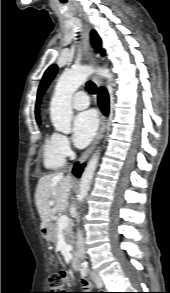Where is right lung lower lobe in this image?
<instances>
[{"mask_svg":"<svg viewBox=\"0 0 170 293\" xmlns=\"http://www.w3.org/2000/svg\"><path fill=\"white\" fill-rule=\"evenodd\" d=\"M98 102L99 106L104 114H108L109 111V98L107 91L104 88L100 89L99 95H98ZM83 171V166H80L78 163L75 164L73 173L76 177H80L81 173Z\"/></svg>","mask_w":170,"mask_h":293,"instance_id":"1","label":"right lung lower lobe"}]
</instances>
